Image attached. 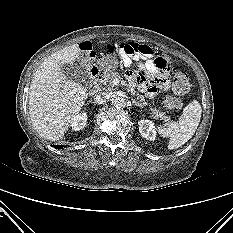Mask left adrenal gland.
I'll list each match as a JSON object with an SVG mask.
<instances>
[{"label": "left adrenal gland", "mask_w": 233, "mask_h": 233, "mask_svg": "<svg viewBox=\"0 0 233 233\" xmlns=\"http://www.w3.org/2000/svg\"><path fill=\"white\" fill-rule=\"evenodd\" d=\"M132 103H133V105H139V103L136 101V100H134V99H132ZM141 105V104H140ZM142 106V105H141Z\"/></svg>", "instance_id": "1"}]
</instances>
